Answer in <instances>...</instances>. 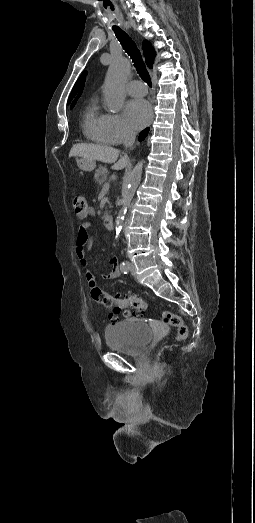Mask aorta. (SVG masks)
Segmentation results:
<instances>
[{"label":"aorta","mask_w":255,"mask_h":523,"mask_svg":"<svg viewBox=\"0 0 255 523\" xmlns=\"http://www.w3.org/2000/svg\"><path fill=\"white\" fill-rule=\"evenodd\" d=\"M129 72L130 63L124 58L113 61L108 68L104 83V97L107 108L113 113L118 112L123 106L125 99L124 84ZM143 165V160L136 164L129 176L127 188L123 191L122 207L115 221L116 241L119 240L129 203L141 182Z\"/></svg>","instance_id":"1"}]
</instances>
